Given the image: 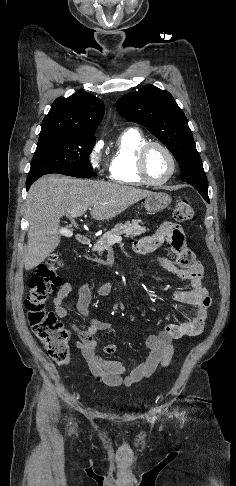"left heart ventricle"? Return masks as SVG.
I'll return each instance as SVG.
<instances>
[{
    "label": "left heart ventricle",
    "instance_id": "1",
    "mask_svg": "<svg viewBox=\"0 0 236 486\" xmlns=\"http://www.w3.org/2000/svg\"><path fill=\"white\" fill-rule=\"evenodd\" d=\"M170 161L166 153L158 148L152 147L146 156V170L148 176L155 181L164 179L170 171Z\"/></svg>",
    "mask_w": 236,
    "mask_h": 486
}]
</instances>
